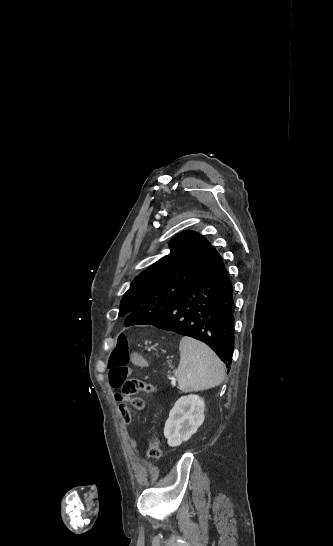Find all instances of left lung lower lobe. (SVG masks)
<instances>
[{
    "mask_svg": "<svg viewBox=\"0 0 333 546\" xmlns=\"http://www.w3.org/2000/svg\"><path fill=\"white\" fill-rule=\"evenodd\" d=\"M233 287L221 256L213 249L189 288L163 309L153 323L142 324L139 314L124 323L153 325L206 343L230 368L234 349Z\"/></svg>",
    "mask_w": 333,
    "mask_h": 546,
    "instance_id": "obj_1",
    "label": "left lung lower lobe"
}]
</instances>
